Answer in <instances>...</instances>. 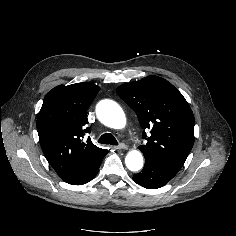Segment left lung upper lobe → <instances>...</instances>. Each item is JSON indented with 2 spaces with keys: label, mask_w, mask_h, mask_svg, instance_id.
I'll return each instance as SVG.
<instances>
[{
  "label": "left lung upper lobe",
  "mask_w": 236,
  "mask_h": 236,
  "mask_svg": "<svg viewBox=\"0 0 236 236\" xmlns=\"http://www.w3.org/2000/svg\"><path fill=\"white\" fill-rule=\"evenodd\" d=\"M116 91L135 111L141 127L151 130L147 144L139 147L144 157L178 172L194 144V115L183 95L158 76L123 84Z\"/></svg>",
  "instance_id": "obj_1"
}]
</instances>
